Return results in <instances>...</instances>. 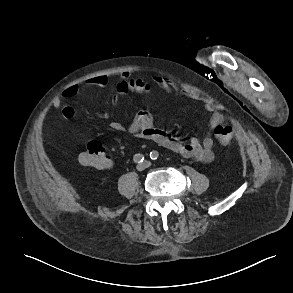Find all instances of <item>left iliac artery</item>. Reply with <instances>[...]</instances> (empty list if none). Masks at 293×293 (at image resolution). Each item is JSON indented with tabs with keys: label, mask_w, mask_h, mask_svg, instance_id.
Listing matches in <instances>:
<instances>
[{
	"label": "left iliac artery",
	"mask_w": 293,
	"mask_h": 293,
	"mask_svg": "<svg viewBox=\"0 0 293 293\" xmlns=\"http://www.w3.org/2000/svg\"><path fill=\"white\" fill-rule=\"evenodd\" d=\"M158 157H159V153H158L157 151H152V152L150 153V158H151L152 160H156V159H158Z\"/></svg>",
	"instance_id": "44dca946"
}]
</instances>
